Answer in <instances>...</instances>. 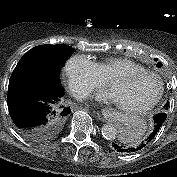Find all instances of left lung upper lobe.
I'll return each mask as SVG.
<instances>
[{
	"label": "left lung upper lobe",
	"instance_id": "obj_1",
	"mask_svg": "<svg viewBox=\"0 0 177 177\" xmlns=\"http://www.w3.org/2000/svg\"><path fill=\"white\" fill-rule=\"evenodd\" d=\"M168 107H169V102H167V103L165 104V110H167Z\"/></svg>",
	"mask_w": 177,
	"mask_h": 177
}]
</instances>
